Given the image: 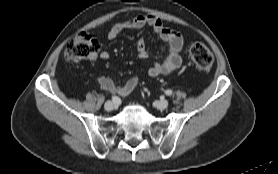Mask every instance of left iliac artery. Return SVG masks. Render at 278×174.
<instances>
[{"mask_svg": "<svg viewBox=\"0 0 278 174\" xmlns=\"http://www.w3.org/2000/svg\"><path fill=\"white\" fill-rule=\"evenodd\" d=\"M172 90H170V89H168V90H166L165 91V94L167 95V96H171L172 95Z\"/></svg>", "mask_w": 278, "mask_h": 174, "instance_id": "1", "label": "left iliac artery"}]
</instances>
